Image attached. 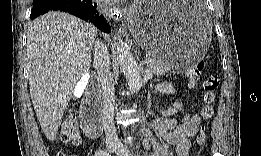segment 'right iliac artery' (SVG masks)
Listing matches in <instances>:
<instances>
[{"instance_id":"1","label":"right iliac artery","mask_w":261,"mask_h":156,"mask_svg":"<svg viewBox=\"0 0 261 156\" xmlns=\"http://www.w3.org/2000/svg\"><path fill=\"white\" fill-rule=\"evenodd\" d=\"M97 155H99V156H107V155H109V153H107V152L104 151V150H100V151L97 153Z\"/></svg>"}]
</instances>
